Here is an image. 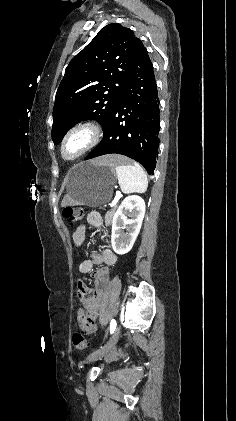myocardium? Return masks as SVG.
Returning a JSON list of instances; mask_svg holds the SVG:
<instances>
[{"mask_svg":"<svg viewBox=\"0 0 236 421\" xmlns=\"http://www.w3.org/2000/svg\"><path fill=\"white\" fill-rule=\"evenodd\" d=\"M77 133H83L86 136V142L83 148L79 153L71 160H66L64 158V147L68 139ZM103 138L102 128L94 122H82L72 126L62 137L60 146H59V155L64 162L73 163L82 158L84 155L89 153L94 149Z\"/></svg>","mask_w":236,"mask_h":421,"instance_id":"myocardium-1","label":"myocardium"}]
</instances>
